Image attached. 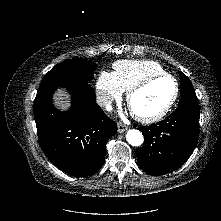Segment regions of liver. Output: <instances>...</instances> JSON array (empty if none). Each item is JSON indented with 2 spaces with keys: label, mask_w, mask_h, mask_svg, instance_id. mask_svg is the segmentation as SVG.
I'll list each match as a JSON object with an SVG mask.
<instances>
[{
  "label": "liver",
  "mask_w": 221,
  "mask_h": 221,
  "mask_svg": "<svg viewBox=\"0 0 221 221\" xmlns=\"http://www.w3.org/2000/svg\"><path fill=\"white\" fill-rule=\"evenodd\" d=\"M67 92L65 90H59L54 96V103L62 110H66L69 107Z\"/></svg>",
  "instance_id": "liver-1"
}]
</instances>
